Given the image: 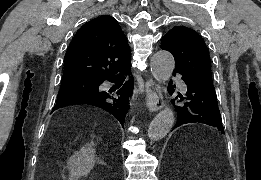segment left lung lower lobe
<instances>
[{"mask_svg": "<svg viewBox=\"0 0 261 180\" xmlns=\"http://www.w3.org/2000/svg\"><path fill=\"white\" fill-rule=\"evenodd\" d=\"M180 74L185 84V92L179 93L176 106L177 122L174 129L187 123H204L224 132L214 88L207 86L200 78L181 68L173 74ZM175 87V86H174Z\"/></svg>", "mask_w": 261, "mask_h": 180, "instance_id": "1", "label": "left lung lower lobe"}]
</instances>
